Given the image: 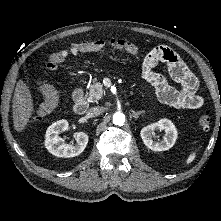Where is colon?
I'll return each instance as SVG.
<instances>
[{
	"label": "colon",
	"mask_w": 221,
	"mask_h": 221,
	"mask_svg": "<svg viewBox=\"0 0 221 221\" xmlns=\"http://www.w3.org/2000/svg\"><path fill=\"white\" fill-rule=\"evenodd\" d=\"M107 48L127 52L131 55L139 56L140 47L131 41L111 40L105 41H82L73 43L70 46L51 54L46 63V68L50 71L55 70L65 60L69 54L100 52ZM39 90L44 97V101L36 112L35 118H42L50 113L59 103V91L52 85L42 84ZM199 125L204 131L211 127V118L208 114L203 115L199 120Z\"/></svg>",
	"instance_id": "5ec220e1"
}]
</instances>
